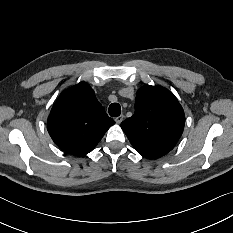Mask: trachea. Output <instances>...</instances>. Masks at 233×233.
Instances as JSON below:
<instances>
[{
    "label": "trachea",
    "mask_w": 233,
    "mask_h": 233,
    "mask_svg": "<svg viewBox=\"0 0 233 233\" xmlns=\"http://www.w3.org/2000/svg\"><path fill=\"white\" fill-rule=\"evenodd\" d=\"M121 113V107L118 103H112L109 106V115L112 117H118Z\"/></svg>",
    "instance_id": "trachea-1"
}]
</instances>
